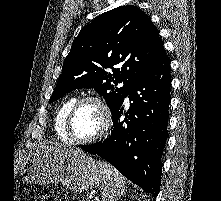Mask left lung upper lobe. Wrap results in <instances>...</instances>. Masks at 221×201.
Instances as JSON below:
<instances>
[{"instance_id": "1", "label": "left lung upper lobe", "mask_w": 221, "mask_h": 201, "mask_svg": "<svg viewBox=\"0 0 221 201\" xmlns=\"http://www.w3.org/2000/svg\"><path fill=\"white\" fill-rule=\"evenodd\" d=\"M165 55L149 17L133 5L117 7L82 28L49 102L77 88H94L113 112L130 87ZM122 82V88L115 87Z\"/></svg>"}]
</instances>
